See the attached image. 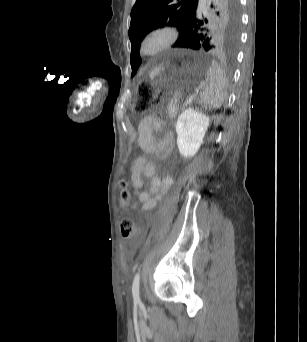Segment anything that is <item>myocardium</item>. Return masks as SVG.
Masks as SVG:
<instances>
[{
  "label": "myocardium",
  "mask_w": 307,
  "mask_h": 342,
  "mask_svg": "<svg viewBox=\"0 0 307 342\" xmlns=\"http://www.w3.org/2000/svg\"><path fill=\"white\" fill-rule=\"evenodd\" d=\"M156 34L164 36L163 41L152 52L145 51L146 42ZM179 32L175 24L167 21H160L151 24L143 33L140 43L139 51L145 58H155L172 48L178 41Z\"/></svg>",
  "instance_id": "myocardium-1"
}]
</instances>
